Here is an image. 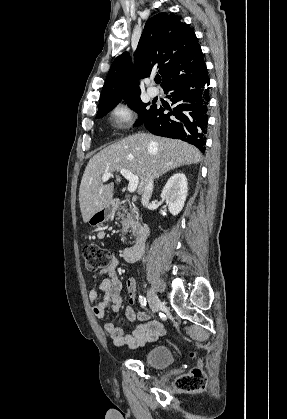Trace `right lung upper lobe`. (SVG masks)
<instances>
[{"label": "right lung upper lobe", "mask_w": 287, "mask_h": 419, "mask_svg": "<svg viewBox=\"0 0 287 419\" xmlns=\"http://www.w3.org/2000/svg\"><path fill=\"white\" fill-rule=\"evenodd\" d=\"M134 68L127 52L111 65L100 95L99 108L122 99L139 97L138 79L158 72L166 87L178 80L198 75L206 69L194 31L180 17L159 13L145 25L134 53Z\"/></svg>", "instance_id": "right-lung-upper-lobe-1"}]
</instances>
